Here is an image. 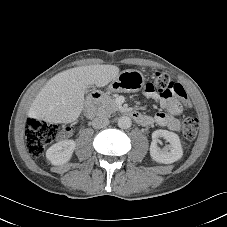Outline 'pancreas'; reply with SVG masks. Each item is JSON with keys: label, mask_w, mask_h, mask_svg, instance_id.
I'll list each match as a JSON object with an SVG mask.
<instances>
[{"label": "pancreas", "mask_w": 227, "mask_h": 227, "mask_svg": "<svg viewBox=\"0 0 227 227\" xmlns=\"http://www.w3.org/2000/svg\"><path fill=\"white\" fill-rule=\"evenodd\" d=\"M119 109L120 106L115 102V99L107 94H104L96 105L98 115L110 116Z\"/></svg>", "instance_id": "cf45deb5"}]
</instances>
